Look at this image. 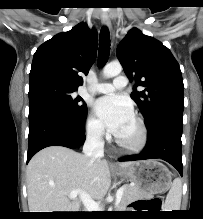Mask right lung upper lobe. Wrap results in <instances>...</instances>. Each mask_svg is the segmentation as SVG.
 Masks as SVG:
<instances>
[{"mask_svg": "<svg viewBox=\"0 0 203 219\" xmlns=\"http://www.w3.org/2000/svg\"><path fill=\"white\" fill-rule=\"evenodd\" d=\"M97 32L80 23L68 32L55 35L34 54L29 83L53 81L72 88L83 84L97 55Z\"/></svg>", "mask_w": 203, "mask_h": 219, "instance_id": "cb5924a9", "label": "right lung upper lobe"}]
</instances>
